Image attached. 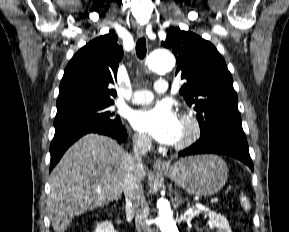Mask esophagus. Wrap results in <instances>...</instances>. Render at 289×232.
Wrapping results in <instances>:
<instances>
[{
	"instance_id": "1",
	"label": "esophagus",
	"mask_w": 289,
	"mask_h": 232,
	"mask_svg": "<svg viewBox=\"0 0 289 232\" xmlns=\"http://www.w3.org/2000/svg\"><path fill=\"white\" fill-rule=\"evenodd\" d=\"M137 34L139 37H143L145 35V29L142 26L138 27ZM153 168L156 170H165L168 168V165L161 159H156L153 162Z\"/></svg>"
}]
</instances>
